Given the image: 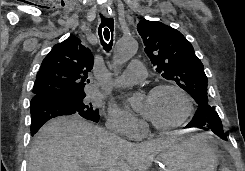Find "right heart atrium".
I'll return each instance as SVG.
<instances>
[{
    "instance_id": "1",
    "label": "right heart atrium",
    "mask_w": 245,
    "mask_h": 171,
    "mask_svg": "<svg viewBox=\"0 0 245 171\" xmlns=\"http://www.w3.org/2000/svg\"><path fill=\"white\" fill-rule=\"evenodd\" d=\"M107 124L113 131L129 138H135L143 128L141 121L116 106L109 109Z\"/></svg>"
}]
</instances>
